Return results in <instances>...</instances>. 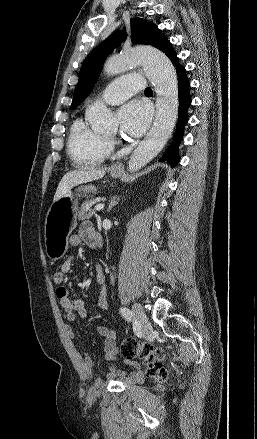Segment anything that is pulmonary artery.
I'll list each match as a JSON object with an SVG mask.
<instances>
[{
	"label": "pulmonary artery",
	"instance_id": "1",
	"mask_svg": "<svg viewBox=\"0 0 257 439\" xmlns=\"http://www.w3.org/2000/svg\"><path fill=\"white\" fill-rule=\"evenodd\" d=\"M144 87L145 82L142 75L127 74L109 84L101 93L100 99L107 104H120L134 93L142 91Z\"/></svg>",
	"mask_w": 257,
	"mask_h": 439
}]
</instances>
